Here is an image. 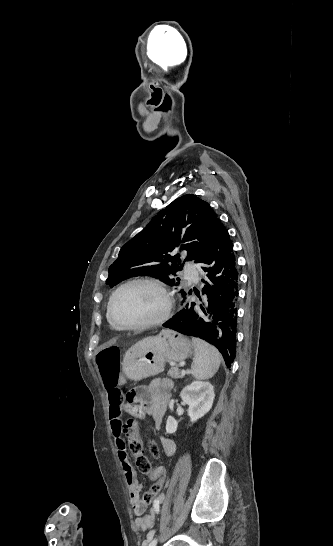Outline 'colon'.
Segmentation results:
<instances>
[{
	"instance_id": "1",
	"label": "colon",
	"mask_w": 333,
	"mask_h": 546,
	"mask_svg": "<svg viewBox=\"0 0 333 546\" xmlns=\"http://www.w3.org/2000/svg\"><path fill=\"white\" fill-rule=\"evenodd\" d=\"M119 349L117 346H105L96 354V365L102 376L105 387L108 389L111 402L120 401V391L116 389L119 377ZM136 394L129 395V402L135 398ZM135 409H140V404L136 403ZM124 428L128 431L129 447L134 456L138 471L144 475H156V482L145 493L143 502L145 504L155 502L162 497L165 469L162 466L153 468L149 458L146 455L144 444L136 430V420L130 418ZM149 451L153 457H158L159 451L155 442L150 441Z\"/></svg>"
}]
</instances>
